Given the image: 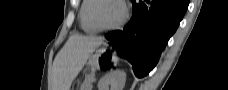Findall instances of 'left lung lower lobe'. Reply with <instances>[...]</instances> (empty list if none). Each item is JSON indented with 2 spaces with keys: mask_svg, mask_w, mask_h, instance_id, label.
Masks as SVG:
<instances>
[{
  "mask_svg": "<svg viewBox=\"0 0 228 90\" xmlns=\"http://www.w3.org/2000/svg\"><path fill=\"white\" fill-rule=\"evenodd\" d=\"M132 17L122 31L106 34L137 77L146 76L182 20L188 0H132Z\"/></svg>",
  "mask_w": 228,
  "mask_h": 90,
  "instance_id": "left-lung-lower-lobe-1",
  "label": "left lung lower lobe"
}]
</instances>
